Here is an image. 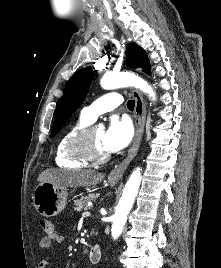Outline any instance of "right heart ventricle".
<instances>
[{
  "mask_svg": "<svg viewBox=\"0 0 221 268\" xmlns=\"http://www.w3.org/2000/svg\"><path fill=\"white\" fill-rule=\"evenodd\" d=\"M92 122L80 116L79 119L70 126L59 138L55 148V162L59 167L63 168H85L90 164L75 158L70 151V144L73 138L85 127Z\"/></svg>",
  "mask_w": 221,
  "mask_h": 268,
  "instance_id": "right-heart-ventricle-1",
  "label": "right heart ventricle"
}]
</instances>
